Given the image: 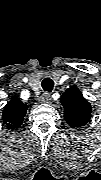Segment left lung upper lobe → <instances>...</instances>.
<instances>
[{
	"mask_svg": "<svg viewBox=\"0 0 101 180\" xmlns=\"http://www.w3.org/2000/svg\"><path fill=\"white\" fill-rule=\"evenodd\" d=\"M61 103L65 121L70 127L79 128L89 122L92 107L76 86H71L63 93Z\"/></svg>",
	"mask_w": 101,
	"mask_h": 180,
	"instance_id": "obj_1",
	"label": "left lung upper lobe"
}]
</instances>
